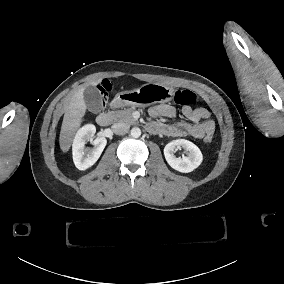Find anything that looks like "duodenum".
<instances>
[{
    "label": "duodenum",
    "instance_id": "duodenum-1",
    "mask_svg": "<svg viewBox=\"0 0 284 284\" xmlns=\"http://www.w3.org/2000/svg\"><path fill=\"white\" fill-rule=\"evenodd\" d=\"M121 102H122L121 99L116 98L113 101V105L114 106L119 105V104H121ZM96 122H97L98 125H100L102 127L108 126L111 122V114L108 113V112H101V113L97 114Z\"/></svg>",
    "mask_w": 284,
    "mask_h": 284
}]
</instances>
